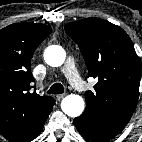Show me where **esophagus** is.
<instances>
[{"label":"esophagus","instance_id":"34e87169","mask_svg":"<svg viewBox=\"0 0 142 142\" xmlns=\"http://www.w3.org/2000/svg\"><path fill=\"white\" fill-rule=\"evenodd\" d=\"M65 96H66V94H58V95L56 96V99H57L58 101H60V100L63 99Z\"/></svg>","mask_w":142,"mask_h":142}]
</instances>
